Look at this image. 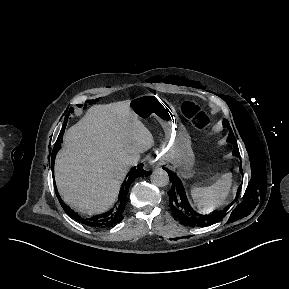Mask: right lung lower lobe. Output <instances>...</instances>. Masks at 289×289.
<instances>
[{
    "label": "right lung lower lobe",
    "mask_w": 289,
    "mask_h": 289,
    "mask_svg": "<svg viewBox=\"0 0 289 289\" xmlns=\"http://www.w3.org/2000/svg\"><path fill=\"white\" fill-rule=\"evenodd\" d=\"M65 126H66V122L64 123L63 129H65ZM63 129H62L61 133H64ZM61 133H60V136H61ZM60 136L58 137V139L55 143V147H54V151H53L52 168H54L55 156H56V153L58 152V150L60 148V142H61ZM144 174L148 175V172L145 173L144 170L142 169L141 165H139L138 168H135V167L132 168L130 170V172L128 173V177L126 178V180H124V183L121 186V189H120V192L118 195L119 204L117 206H115V208H113L112 210L107 212L106 214L100 215V216H94L91 218H83L63 203L57 190H56V195H57V198H58L61 206L63 207L64 211L67 214H69L72 218H74L75 220H77V221H79L82 224H85L87 226H91V227H99V228L111 227V226L119 223L123 219V211H124V208L126 205L127 194H128L129 187H130L131 183L137 177L142 176Z\"/></svg>",
    "instance_id": "98d812e1"
}]
</instances>
